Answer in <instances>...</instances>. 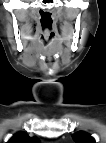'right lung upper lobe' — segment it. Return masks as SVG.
<instances>
[{"instance_id":"cb5924a9","label":"right lung upper lobe","mask_w":106,"mask_h":143,"mask_svg":"<svg viewBox=\"0 0 106 143\" xmlns=\"http://www.w3.org/2000/svg\"><path fill=\"white\" fill-rule=\"evenodd\" d=\"M39 139L35 137H29L25 132H18L11 137L7 143H38Z\"/></svg>"}]
</instances>
